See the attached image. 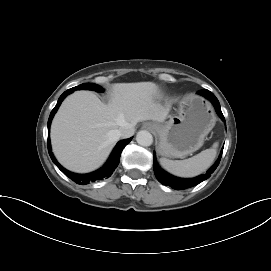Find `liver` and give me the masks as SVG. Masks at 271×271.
Instances as JSON below:
<instances>
[{
    "mask_svg": "<svg viewBox=\"0 0 271 271\" xmlns=\"http://www.w3.org/2000/svg\"><path fill=\"white\" fill-rule=\"evenodd\" d=\"M158 86L153 82L117 83L104 104L91 91L69 95L51 125L53 152L65 168L76 173L98 169L119 140L116 131L126 123L164 122L170 104L155 102Z\"/></svg>",
    "mask_w": 271,
    "mask_h": 271,
    "instance_id": "6515ba94",
    "label": "liver"
}]
</instances>
